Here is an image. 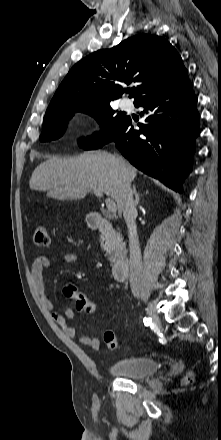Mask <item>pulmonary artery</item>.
<instances>
[{"instance_id": "1", "label": "pulmonary artery", "mask_w": 221, "mask_h": 440, "mask_svg": "<svg viewBox=\"0 0 221 440\" xmlns=\"http://www.w3.org/2000/svg\"><path fill=\"white\" fill-rule=\"evenodd\" d=\"M120 106L123 110H131L132 109V102L128 99H123L120 103Z\"/></svg>"}]
</instances>
